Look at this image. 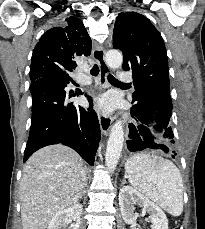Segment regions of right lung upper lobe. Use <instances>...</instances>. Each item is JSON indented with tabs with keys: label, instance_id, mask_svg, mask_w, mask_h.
Listing matches in <instances>:
<instances>
[{
	"label": "right lung upper lobe",
	"instance_id": "1",
	"mask_svg": "<svg viewBox=\"0 0 205 229\" xmlns=\"http://www.w3.org/2000/svg\"><path fill=\"white\" fill-rule=\"evenodd\" d=\"M91 47L83 22L76 17L66 18L62 27L49 29L36 44L30 66L31 82L45 76H69L78 57L89 56Z\"/></svg>",
	"mask_w": 205,
	"mask_h": 229
}]
</instances>
